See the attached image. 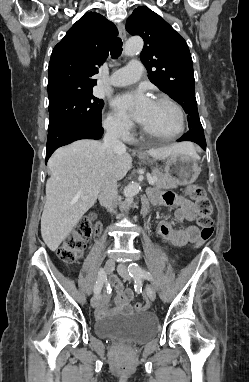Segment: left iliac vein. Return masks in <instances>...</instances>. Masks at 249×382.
Here are the masks:
<instances>
[{"label": "left iliac vein", "instance_id": "4c4485c4", "mask_svg": "<svg viewBox=\"0 0 249 382\" xmlns=\"http://www.w3.org/2000/svg\"><path fill=\"white\" fill-rule=\"evenodd\" d=\"M118 273L124 280H131V276L128 272L127 266L125 264H119L117 267ZM146 295L151 300L154 301L156 299V291L153 285L147 284L146 288Z\"/></svg>", "mask_w": 249, "mask_h": 382}]
</instances>
